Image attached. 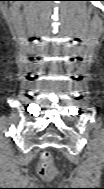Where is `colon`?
Returning <instances> with one entry per match:
<instances>
[{
    "mask_svg": "<svg viewBox=\"0 0 104 189\" xmlns=\"http://www.w3.org/2000/svg\"><path fill=\"white\" fill-rule=\"evenodd\" d=\"M38 173L45 179H52L56 175V170L53 167L51 155L48 152H44L41 155L38 165Z\"/></svg>",
    "mask_w": 104,
    "mask_h": 189,
    "instance_id": "5ec220e1",
    "label": "colon"
}]
</instances>
